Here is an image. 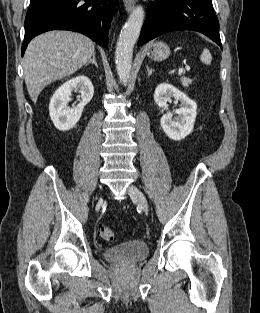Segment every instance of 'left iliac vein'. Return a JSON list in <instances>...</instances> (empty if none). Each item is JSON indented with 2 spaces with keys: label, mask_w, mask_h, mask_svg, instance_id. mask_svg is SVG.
I'll use <instances>...</instances> for the list:
<instances>
[{
  "label": "left iliac vein",
  "mask_w": 260,
  "mask_h": 313,
  "mask_svg": "<svg viewBox=\"0 0 260 313\" xmlns=\"http://www.w3.org/2000/svg\"><path fill=\"white\" fill-rule=\"evenodd\" d=\"M128 194L131 199L139 204L145 213L148 212V201L142 191L134 185L128 187Z\"/></svg>",
  "instance_id": "4c4485c4"
}]
</instances>
